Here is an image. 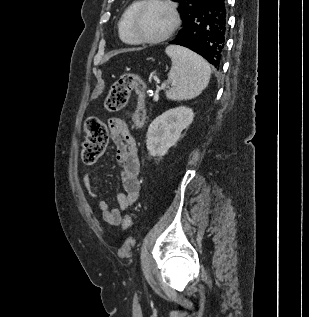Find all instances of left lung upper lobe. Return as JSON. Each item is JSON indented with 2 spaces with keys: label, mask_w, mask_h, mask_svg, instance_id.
I'll use <instances>...</instances> for the list:
<instances>
[{
  "label": "left lung upper lobe",
  "mask_w": 309,
  "mask_h": 317,
  "mask_svg": "<svg viewBox=\"0 0 309 317\" xmlns=\"http://www.w3.org/2000/svg\"><path fill=\"white\" fill-rule=\"evenodd\" d=\"M179 2L178 11L183 20L190 15L205 0H173Z\"/></svg>",
  "instance_id": "5c2ea615"
}]
</instances>
